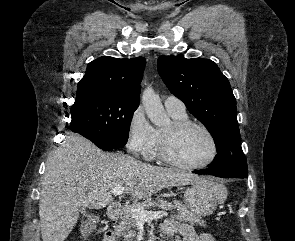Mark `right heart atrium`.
I'll return each mask as SVG.
<instances>
[{"label": "right heart atrium", "mask_w": 295, "mask_h": 241, "mask_svg": "<svg viewBox=\"0 0 295 241\" xmlns=\"http://www.w3.org/2000/svg\"><path fill=\"white\" fill-rule=\"evenodd\" d=\"M155 140L156 130L150 124L144 110L138 107L133 111L128 122V150L137 155L149 156Z\"/></svg>", "instance_id": "obj_1"}]
</instances>
